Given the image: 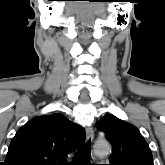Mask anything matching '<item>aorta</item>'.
<instances>
[{"instance_id":"obj_1","label":"aorta","mask_w":165,"mask_h":165,"mask_svg":"<svg viewBox=\"0 0 165 165\" xmlns=\"http://www.w3.org/2000/svg\"><path fill=\"white\" fill-rule=\"evenodd\" d=\"M94 151L97 155H107L111 151L110 144L107 141H99L94 146Z\"/></svg>"}]
</instances>
